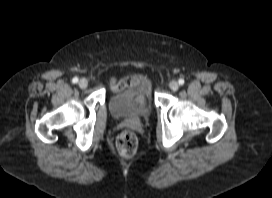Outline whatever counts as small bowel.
I'll return each instance as SVG.
<instances>
[{
	"instance_id": "small-bowel-1",
	"label": "small bowel",
	"mask_w": 272,
	"mask_h": 198,
	"mask_svg": "<svg viewBox=\"0 0 272 198\" xmlns=\"http://www.w3.org/2000/svg\"><path fill=\"white\" fill-rule=\"evenodd\" d=\"M142 83H144L142 78L132 75L122 80H113L111 83V88L113 90H120L127 86L134 87Z\"/></svg>"
}]
</instances>
